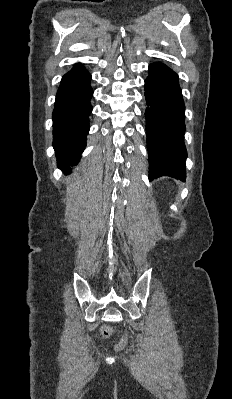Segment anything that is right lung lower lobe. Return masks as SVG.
Listing matches in <instances>:
<instances>
[{"label": "right lung lower lobe", "instance_id": "1", "mask_svg": "<svg viewBox=\"0 0 232 399\" xmlns=\"http://www.w3.org/2000/svg\"><path fill=\"white\" fill-rule=\"evenodd\" d=\"M90 80L89 72L82 65H76L63 76L56 95L53 146L58 167L64 172H70V166L77 165L86 146L92 111Z\"/></svg>", "mask_w": 232, "mask_h": 399}]
</instances>
